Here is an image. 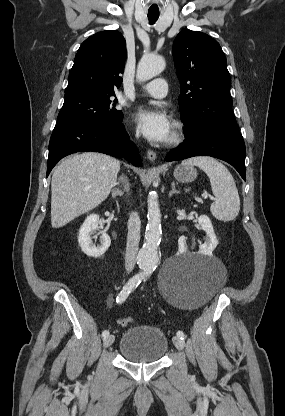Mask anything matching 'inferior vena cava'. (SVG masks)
I'll list each match as a JSON object with an SVG mask.
<instances>
[{"instance_id":"1","label":"inferior vena cava","mask_w":285,"mask_h":416,"mask_svg":"<svg viewBox=\"0 0 285 416\" xmlns=\"http://www.w3.org/2000/svg\"><path fill=\"white\" fill-rule=\"evenodd\" d=\"M140 218L137 212L130 214L128 220V236L125 254V268L127 272H131L136 264L138 244L140 240Z\"/></svg>"}]
</instances>
